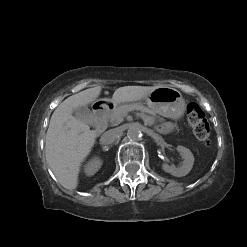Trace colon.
<instances>
[{"label":"colon","instance_id":"obj_1","mask_svg":"<svg viewBox=\"0 0 247 247\" xmlns=\"http://www.w3.org/2000/svg\"><path fill=\"white\" fill-rule=\"evenodd\" d=\"M187 120L195 137L205 146L210 144V126L203 110L195 103L187 106Z\"/></svg>","mask_w":247,"mask_h":247}]
</instances>
